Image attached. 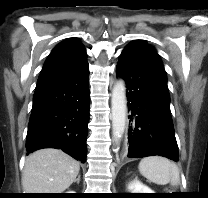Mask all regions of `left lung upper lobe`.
<instances>
[{
    "instance_id": "left-lung-upper-lobe-1",
    "label": "left lung upper lobe",
    "mask_w": 208,
    "mask_h": 198,
    "mask_svg": "<svg viewBox=\"0 0 208 198\" xmlns=\"http://www.w3.org/2000/svg\"><path fill=\"white\" fill-rule=\"evenodd\" d=\"M149 45V44H148ZM152 49H153V47L151 46V45H149ZM154 50V49H153ZM154 52H155V50H154ZM156 53V52H155ZM156 55H157V57H158V59H159V61H160V64H161V66H162V68H163V70H164V67H163V65H162V62H161V60H160V58H159V55L156 53ZM164 72H165V70H164Z\"/></svg>"
}]
</instances>
